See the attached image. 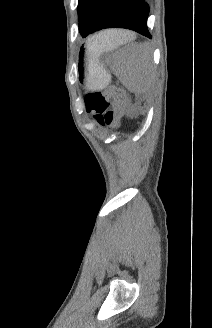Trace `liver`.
Returning a JSON list of instances; mask_svg holds the SVG:
<instances>
[{
  "label": "liver",
  "mask_w": 212,
  "mask_h": 328,
  "mask_svg": "<svg viewBox=\"0 0 212 328\" xmlns=\"http://www.w3.org/2000/svg\"><path fill=\"white\" fill-rule=\"evenodd\" d=\"M111 37L114 41L119 43L128 42L135 38V35L129 31H122V30H110Z\"/></svg>",
  "instance_id": "liver-1"
}]
</instances>
